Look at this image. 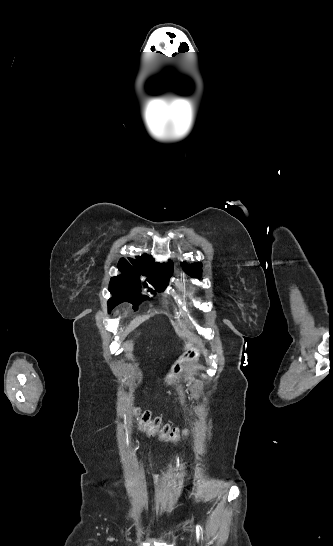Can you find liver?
Returning a JSON list of instances; mask_svg holds the SVG:
<instances>
[{"label":"liver","instance_id":"1","mask_svg":"<svg viewBox=\"0 0 333 546\" xmlns=\"http://www.w3.org/2000/svg\"><path fill=\"white\" fill-rule=\"evenodd\" d=\"M190 347H191V343L190 342L186 343L185 349H189Z\"/></svg>","mask_w":333,"mask_h":546}]
</instances>
